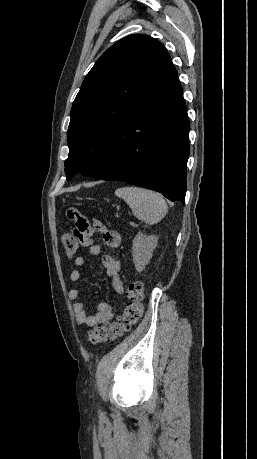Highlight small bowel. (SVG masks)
I'll return each instance as SVG.
<instances>
[{"label":"small bowel","instance_id":"1","mask_svg":"<svg viewBox=\"0 0 257 459\" xmlns=\"http://www.w3.org/2000/svg\"><path fill=\"white\" fill-rule=\"evenodd\" d=\"M67 220L75 222V227H68V236H74L78 247H88V251L92 255H99L101 247L98 244L92 243L91 236L94 233L102 235L104 243L111 249H117L121 245V235L114 230L108 229L101 221L95 220L92 224L91 220H86V215L81 211L80 205H69L66 213ZM85 258L77 256L74 259L76 266L69 274L71 282H78L82 277L81 268L85 265ZM102 265L107 275L112 279V288L119 295L124 294L123 282L120 277L121 261L117 257L106 254L102 256ZM81 292L77 288H73L69 292V298L74 300L73 311L78 324L93 327L98 324L109 322L115 316V308L111 303L101 302L97 305V311L89 314L85 303L79 300Z\"/></svg>","mask_w":257,"mask_h":459}]
</instances>
